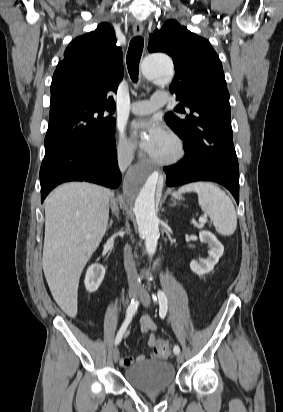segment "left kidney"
<instances>
[{
    "instance_id": "5707ae66",
    "label": "left kidney",
    "mask_w": 283,
    "mask_h": 412,
    "mask_svg": "<svg viewBox=\"0 0 283 412\" xmlns=\"http://www.w3.org/2000/svg\"><path fill=\"white\" fill-rule=\"evenodd\" d=\"M199 239L201 242L208 243L210 250L209 256L206 259H200L199 261H191L190 268L197 275H204L213 270L214 266L219 261V258L223 255L224 246L221 242L209 231H201L199 233Z\"/></svg>"
}]
</instances>
